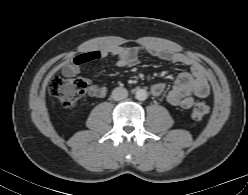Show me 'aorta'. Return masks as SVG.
<instances>
[{
    "mask_svg": "<svg viewBox=\"0 0 248 195\" xmlns=\"http://www.w3.org/2000/svg\"><path fill=\"white\" fill-rule=\"evenodd\" d=\"M148 94L147 91L145 89H138L136 91V99L140 100V101H144L146 100Z\"/></svg>",
    "mask_w": 248,
    "mask_h": 195,
    "instance_id": "obj_1",
    "label": "aorta"
}]
</instances>
